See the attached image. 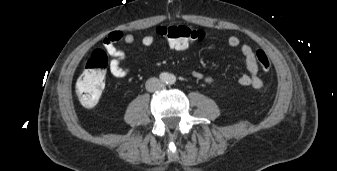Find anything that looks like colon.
<instances>
[{
  "mask_svg": "<svg viewBox=\"0 0 337 171\" xmlns=\"http://www.w3.org/2000/svg\"><path fill=\"white\" fill-rule=\"evenodd\" d=\"M156 33L168 41V46L172 50H181L200 40L204 35L202 30L184 25L159 26ZM256 59L261 70L265 72L270 70V60L263 50L256 52ZM107 65L108 57L100 49L94 50L88 57L75 86L77 97L83 106L92 107L100 100L105 87Z\"/></svg>",
  "mask_w": 337,
  "mask_h": 171,
  "instance_id": "colon-1",
  "label": "colon"
}]
</instances>
